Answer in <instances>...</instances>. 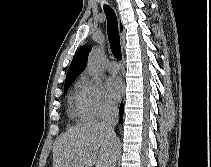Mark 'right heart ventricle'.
I'll return each instance as SVG.
<instances>
[{
  "instance_id": "right-heart-ventricle-1",
  "label": "right heart ventricle",
  "mask_w": 211,
  "mask_h": 167,
  "mask_svg": "<svg viewBox=\"0 0 211 167\" xmlns=\"http://www.w3.org/2000/svg\"><path fill=\"white\" fill-rule=\"evenodd\" d=\"M69 115L78 121H84L90 118L82 101L80 83L76 84L74 92L70 96Z\"/></svg>"
}]
</instances>
